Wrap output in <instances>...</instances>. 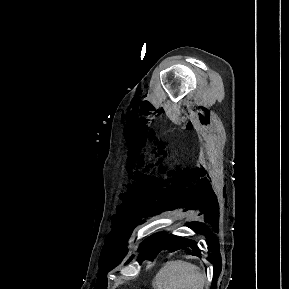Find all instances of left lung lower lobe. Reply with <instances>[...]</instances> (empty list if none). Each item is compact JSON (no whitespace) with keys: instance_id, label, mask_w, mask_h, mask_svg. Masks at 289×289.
<instances>
[{"instance_id":"obj_1","label":"left lung lower lobe","mask_w":289,"mask_h":289,"mask_svg":"<svg viewBox=\"0 0 289 289\" xmlns=\"http://www.w3.org/2000/svg\"><path fill=\"white\" fill-rule=\"evenodd\" d=\"M162 242L164 243V249L165 248H173V249H180L184 246H190L192 248H197L196 243L192 240L176 237V236H165L162 239Z\"/></svg>"}]
</instances>
